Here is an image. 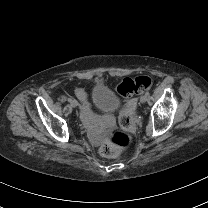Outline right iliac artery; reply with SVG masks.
I'll use <instances>...</instances> for the list:
<instances>
[{
	"instance_id": "obj_1",
	"label": "right iliac artery",
	"mask_w": 208,
	"mask_h": 208,
	"mask_svg": "<svg viewBox=\"0 0 208 208\" xmlns=\"http://www.w3.org/2000/svg\"><path fill=\"white\" fill-rule=\"evenodd\" d=\"M72 101H73V100H72L71 98H68V102H70V103H71Z\"/></svg>"
}]
</instances>
